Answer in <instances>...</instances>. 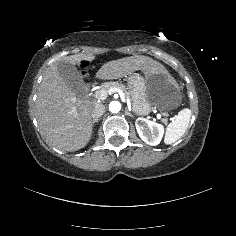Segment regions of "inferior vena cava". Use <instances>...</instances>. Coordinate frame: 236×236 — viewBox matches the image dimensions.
I'll return each mask as SVG.
<instances>
[{
    "mask_svg": "<svg viewBox=\"0 0 236 236\" xmlns=\"http://www.w3.org/2000/svg\"><path fill=\"white\" fill-rule=\"evenodd\" d=\"M105 112V106L102 103H95L92 111H91V117L94 119H97L101 117Z\"/></svg>",
    "mask_w": 236,
    "mask_h": 236,
    "instance_id": "obj_1",
    "label": "inferior vena cava"
}]
</instances>
